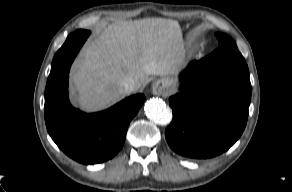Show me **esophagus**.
<instances>
[{"label": "esophagus", "instance_id": "1", "mask_svg": "<svg viewBox=\"0 0 292 192\" xmlns=\"http://www.w3.org/2000/svg\"><path fill=\"white\" fill-rule=\"evenodd\" d=\"M166 87V81L164 80H156L152 84V92L154 95H161Z\"/></svg>", "mask_w": 292, "mask_h": 192}]
</instances>
